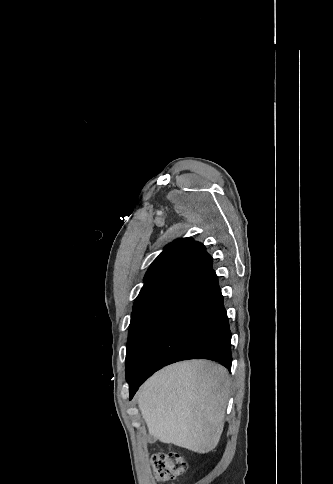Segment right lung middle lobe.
<instances>
[{"mask_svg":"<svg viewBox=\"0 0 333 484\" xmlns=\"http://www.w3.org/2000/svg\"><path fill=\"white\" fill-rule=\"evenodd\" d=\"M164 299H156L146 302L133 309L131 323L129 326V335L126 351V379L130 380L135 363L138 359L139 347L143 339L147 324L157 308L159 303Z\"/></svg>","mask_w":333,"mask_h":484,"instance_id":"dd1d6c3e","label":"right lung middle lobe"}]
</instances>
